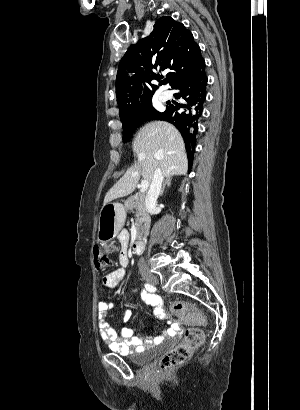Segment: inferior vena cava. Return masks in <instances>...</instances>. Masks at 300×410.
Returning a JSON list of instances; mask_svg holds the SVG:
<instances>
[{
    "label": "inferior vena cava",
    "instance_id": "1",
    "mask_svg": "<svg viewBox=\"0 0 300 410\" xmlns=\"http://www.w3.org/2000/svg\"><path fill=\"white\" fill-rule=\"evenodd\" d=\"M164 176L159 168L154 172L153 179L151 181L148 194L145 200V206L148 212H152L156 208L157 199L160 195L161 186ZM138 267L140 270L147 268L145 259L141 257L138 261Z\"/></svg>",
    "mask_w": 300,
    "mask_h": 410
}]
</instances>
